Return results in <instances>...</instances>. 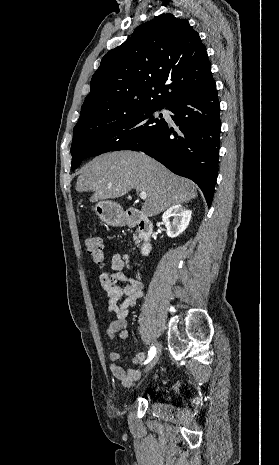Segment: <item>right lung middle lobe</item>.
I'll return each instance as SVG.
<instances>
[{
  "instance_id": "1",
  "label": "right lung middle lobe",
  "mask_w": 279,
  "mask_h": 465,
  "mask_svg": "<svg viewBox=\"0 0 279 465\" xmlns=\"http://www.w3.org/2000/svg\"><path fill=\"white\" fill-rule=\"evenodd\" d=\"M158 109L161 108L140 109L97 126H75L71 169H76L87 157L154 141L166 126L164 119L152 115Z\"/></svg>"
}]
</instances>
